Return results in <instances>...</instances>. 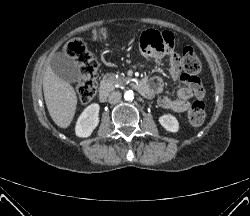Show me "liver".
<instances>
[{"label": "liver", "instance_id": "obj_1", "mask_svg": "<svg viewBox=\"0 0 250 216\" xmlns=\"http://www.w3.org/2000/svg\"><path fill=\"white\" fill-rule=\"evenodd\" d=\"M44 98L48 112L61 128H67L73 120L77 96L74 88L59 78L48 65L43 78Z\"/></svg>", "mask_w": 250, "mask_h": 216}]
</instances>
